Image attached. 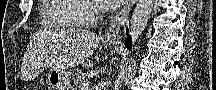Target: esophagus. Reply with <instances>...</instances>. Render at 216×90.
Masks as SVG:
<instances>
[{
    "label": "esophagus",
    "instance_id": "esophagus-1",
    "mask_svg": "<svg viewBox=\"0 0 216 90\" xmlns=\"http://www.w3.org/2000/svg\"><path fill=\"white\" fill-rule=\"evenodd\" d=\"M136 0H128L122 5V7L116 11V13L111 17L110 24L106 29L103 40L106 42H119L120 40V30L124 24V21L128 17L131 9L133 8Z\"/></svg>",
    "mask_w": 216,
    "mask_h": 90
}]
</instances>
